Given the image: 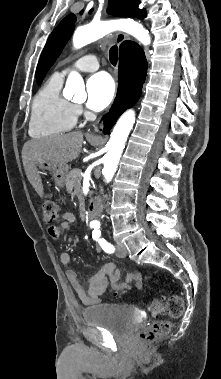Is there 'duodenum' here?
<instances>
[{
    "mask_svg": "<svg viewBox=\"0 0 221 379\" xmlns=\"http://www.w3.org/2000/svg\"><path fill=\"white\" fill-rule=\"evenodd\" d=\"M99 209H100L99 200L98 199H93L90 202L89 207H88V217L90 219L95 218L98 215V213H99Z\"/></svg>",
    "mask_w": 221,
    "mask_h": 379,
    "instance_id": "duodenum-1",
    "label": "duodenum"
}]
</instances>
